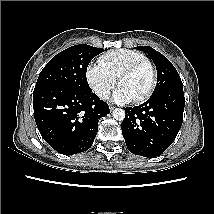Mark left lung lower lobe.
Segmentation results:
<instances>
[{"mask_svg": "<svg viewBox=\"0 0 214 214\" xmlns=\"http://www.w3.org/2000/svg\"><path fill=\"white\" fill-rule=\"evenodd\" d=\"M184 106L183 88H174L125 108L121 128L128 150L148 158L161 155L179 132Z\"/></svg>", "mask_w": 214, "mask_h": 214, "instance_id": "1", "label": "left lung lower lobe"}]
</instances>
